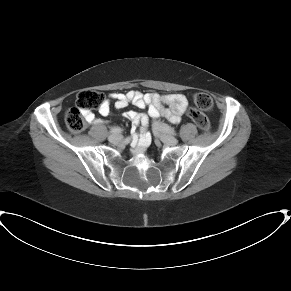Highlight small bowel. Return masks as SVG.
Returning <instances> with one entry per match:
<instances>
[{
	"mask_svg": "<svg viewBox=\"0 0 291 291\" xmlns=\"http://www.w3.org/2000/svg\"><path fill=\"white\" fill-rule=\"evenodd\" d=\"M114 104L116 109H123L129 104H134L138 108H146L147 114H141L134 110L127 111L123 114L125 118L131 121L134 136L132 139L135 145L134 154L138 155L146 150V145L149 142L150 134L146 132L148 118L156 119L163 116L173 123L180 121L183 112L188 106L189 100L183 94H164L156 93L143 94L140 91L130 90L125 93H112L102 103L99 112L102 116H107L111 110V104ZM83 116L91 125L101 123L95 114L90 110H84ZM141 128V133L138 134V128Z\"/></svg>",
	"mask_w": 291,
	"mask_h": 291,
	"instance_id": "obj_1",
	"label": "small bowel"
}]
</instances>
